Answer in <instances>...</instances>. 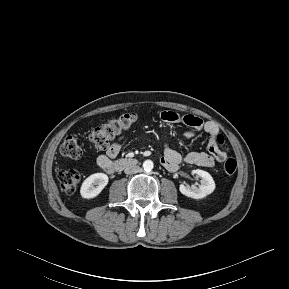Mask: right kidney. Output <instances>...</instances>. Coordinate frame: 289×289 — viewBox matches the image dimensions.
<instances>
[{
  "instance_id": "ca27d5eb",
  "label": "right kidney",
  "mask_w": 289,
  "mask_h": 289,
  "mask_svg": "<svg viewBox=\"0 0 289 289\" xmlns=\"http://www.w3.org/2000/svg\"><path fill=\"white\" fill-rule=\"evenodd\" d=\"M108 184V176L104 173H95L87 177L80 188V194L85 199L98 196Z\"/></svg>"
}]
</instances>
